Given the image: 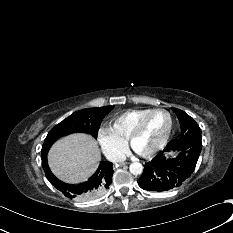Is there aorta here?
Listing matches in <instances>:
<instances>
[{
  "instance_id": "762f6f07",
  "label": "aorta",
  "mask_w": 233,
  "mask_h": 233,
  "mask_svg": "<svg viewBox=\"0 0 233 233\" xmlns=\"http://www.w3.org/2000/svg\"><path fill=\"white\" fill-rule=\"evenodd\" d=\"M129 170L133 175H140L143 172V166L139 162H134L129 166Z\"/></svg>"
}]
</instances>
